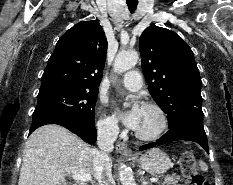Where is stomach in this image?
Wrapping results in <instances>:
<instances>
[{"instance_id": "1", "label": "stomach", "mask_w": 233, "mask_h": 185, "mask_svg": "<svg viewBox=\"0 0 233 185\" xmlns=\"http://www.w3.org/2000/svg\"><path fill=\"white\" fill-rule=\"evenodd\" d=\"M132 159L141 169L152 174L165 173L172 166L169 156L159 148L148 150L140 157H132Z\"/></svg>"}]
</instances>
